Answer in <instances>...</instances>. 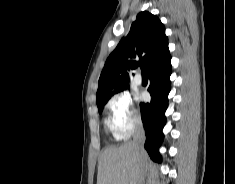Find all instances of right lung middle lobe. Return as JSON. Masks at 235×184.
I'll list each match as a JSON object with an SVG mask.
<instances>
[{"mask_svg":"<svg viewBox=\"0 0 235 184\" xmlns=\"http://www.w3.org/2000/svg\"><path fill=\"white\" fill-rule=\"evenodd\" d=\"M127 87H128V86H125V87H121V88L115 89V90L113 91V94L118 93V92H121V91H123V90L127 89ZM103 106H104V105H100V106H98L99 112H101V111H102Z\"/></svg>","mask_w":235,"mask_h":184,"instance_id":"right-lung-middle-lobe-1","label":"right lung middle lobe"}]
</instances>
